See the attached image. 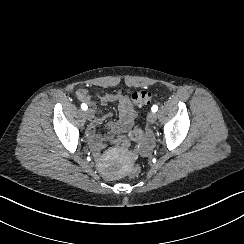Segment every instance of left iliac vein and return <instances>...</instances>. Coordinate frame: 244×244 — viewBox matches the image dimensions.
<instances>
[{
  "label": "left iliac vein",
  "instance_id": "1",
  "mask_svg": "<svg viewBox=\"0 0 244 244\" xmlns=\"http://www.w3.org/2000/svg\"><path fill=\"white\" fill-rule=\"evenodd\" d=\"M147 120L149 123H155L156 120H157V114L155 112H150L148 115H147Z\"/></svg>",
  "mask_w": 244,
  "mask_h": 244
}]
</instances>
